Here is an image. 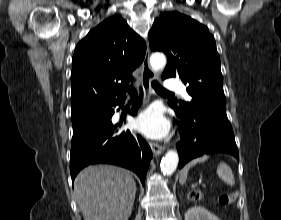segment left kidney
<instances>
[{
    "label": "left kidney",
    "instance_id": "obj_1",
    "mask_svg": "<svg viewBox=\"0 0 281 220\" xmlns=\"http://www.w3.org/2000/svg\"><path fill=\"white\" fill-rule=\"evenodd\" d=\"M185 220H220L204 207L195 206L185 213Z\"/></svg>",
    "mask_w": 281,
    "mask_h": 220
}]
</instances>
